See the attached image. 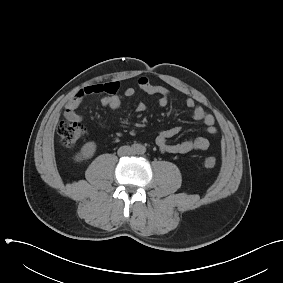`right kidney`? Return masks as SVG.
<instances>
[{"mask_svg": "<svg viewBox=\"0 0 283 283\" xmlns=\"http://www.w3.org/2000/svg\"><path fill=\"white\" fill-rule=\"evenodd\" d=\"M96 151V144L94 142H87L81 148L80 153L76 156L77 161L91 158Z\"/></svg>", "mask_w": 283, "mask_h": 283, "instance_id": "ca27d5eb", "label": "right kidney"}]
</instances>
